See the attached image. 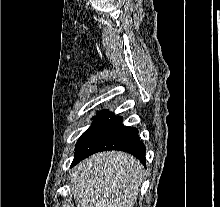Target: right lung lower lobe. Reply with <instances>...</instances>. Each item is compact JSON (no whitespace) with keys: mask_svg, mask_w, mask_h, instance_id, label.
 <instances>
[{"mask_svg":"<svg viewBox=\"0 0 220 207\" xmlns=\"http://www.w3.org/2000/svg\"><path fill=\"white\" fill-rule=\"evenodd\" d=\"M98 116L99 118L79 138L71 166L93 153L105 150L129 152L145 164L146 148L138 137V130L124 126L119 116H115L107 110Z\"/></svg>","mask_w":220,"mask_h":207,"instance_id":"obj_1","label":"right lung lower lobe"}]
</instances>
